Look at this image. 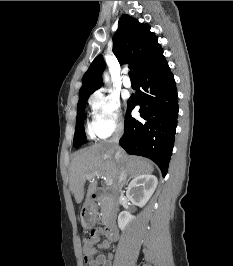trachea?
I'll return each mask as SVG.
<instances>
[{
  "label": "trachea",
  "mask_w": 233,
  "mask_h": 266,
  "mask_svg": "<svg viewBox=\"0 0 233 266\" xmlns=\"http://www.w3.org/2000/svg\"><path fill=\"white\" fill-rule=\"evenodd\" d=\"M129 77H130L131 79H135V74H134L133 71H130V72H129Z\"/></svg>",
  "instance_id": "obj_1"
}]
</instances>
